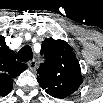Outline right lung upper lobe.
Returning a JSON list of instances; mask_svg holds the SVG:
<instances>
[{
	"label": "right lung upper lobe",
	"mask_w": 103,
	"mask_h": 103,
	"mask_svg": "<svg viewBox=\"0 0 103 103\" xmlns=\"http://www.w3.org/2000/svg\"><path fill=\"white\" fill-rule=\"evenodd\" d=\"M27 68L26 64L15 60L14 51L5 43V38L0 36V90L8 94L13 87V78L17 77Z\"/></svg>",
	"instance_id": "right-lung-upper-lobe-1"
}]
</instances>
